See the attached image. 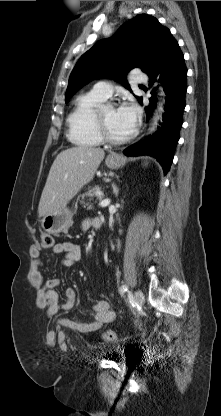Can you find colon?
Returning <instances> with one entry per match:
<instances>
[{
	"label": "colon",
	"instance_id": "obj_1",
	"mask_svg": "<svg viewBox=\"0 0 221 416\" xmlns=\"http://www.w3.org/2000/svg\"><path fill=\"white\" fill-rule=\"evenodd\" d=\"M54 245L53 236L47 233L42 234L41 236V246L43 248H52ZM102 338L105 341H114L116 339L115 332L107 330L102 334Z\"/></svg>",
	"mask_w": 221,
	"mask_h": 416
}]
</instances>
